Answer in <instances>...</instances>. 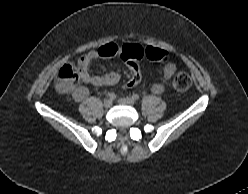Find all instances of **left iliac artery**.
<instances>
[{
  "label": "left iliac artery",
  "mask_w": 248,
  "mask_h": 194,
  "mask_svg": "<svg viewBox=\"0 0 248 194\" xmlns=\"http://www.w3.org/2000/svg\"><path fill=\"white\" fill-rule=\"evenodd\" d=\"M132 99H133L134 101L139 100V95H138V94H133V95H132Z\"/></svg>",
  "instance_id": "44dca946"
}]
</instances>
